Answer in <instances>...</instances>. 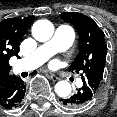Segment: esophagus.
I'll return each mask as SVG.
<instances>
[{
    "mask_svg": "<svg viewBox=\"0 0 117 117\" xmlns=\"http://www.w3.org/2000/svg\"><path fill=\"white\" fill-rule=\"evenodd\" d=\"M49 78L53 81H58L60 78L54 74H49Z\"/></svg>",
    "mask_w": 117,
    "mask_h": 117,
    "instance_id": "1",
    "label": "esophagus"
}]
</instances>
